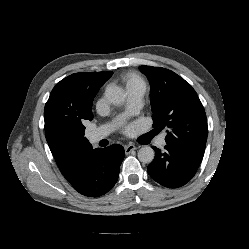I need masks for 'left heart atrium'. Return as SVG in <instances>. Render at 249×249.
<instances>
[{"label":"left heart atrium","mask_w":249,"mask_h":249,"mask_svg":"<svg viewBox=\"0 0 249 249\" xmlns=\"http://www.w3.org/2000/svg\"><path fill=\"white\" fill-rule=\"evenodd\" d=\"M132 130H133L132 126L128 127V131H132Z\"/></svg>","instance_id":"obj_1"}]
</instances>
